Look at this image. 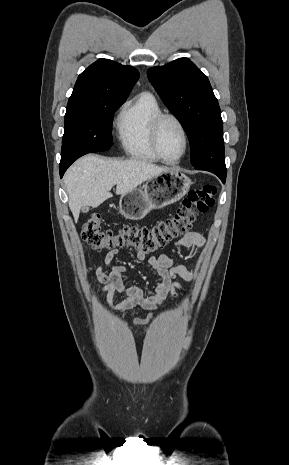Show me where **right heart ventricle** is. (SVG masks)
Masks as SVG:
<instances>
[{
    "label": "right heart ventricle",
    "mask_w": 289,
    "mask_h": 465,
    "mask_svg": "<svg viewBox=\"0 0 289 465\" xmlns=\"http://www.w3.org/2000/svg\"><path fill=\"white\" fill-rule=\"evenodd\" d=\"M161 112L158 101L149 92L138 94L123 107L117 120L118 137L130 157L146 162L159 161L151 145V125Z\"/></svg>",
    "instance_id": "obj_1"
}]
</instances>
